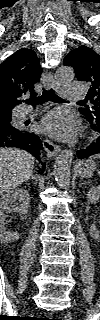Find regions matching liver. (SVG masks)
I'll list each match as a JSON object with an SVG mask.
<instances>
[{
	"mask_svg": "<svg viewBox=\"0 0 100 320\" xmlns=\"http://www.w3.org/2000/svg\"><path fill=\"white\" fill-rule=\"evenodd\" d=\"M35 158L28 152L14 149H0V193L13 190L33 174Z\"/></svg>",
	"mask_w": 100,
	"mask_h": 320,
	"instance_id": "1",
	"label": "liver"
}]
</instances>
